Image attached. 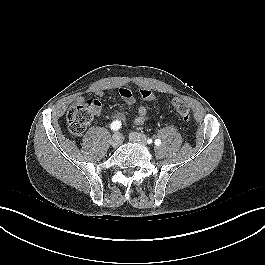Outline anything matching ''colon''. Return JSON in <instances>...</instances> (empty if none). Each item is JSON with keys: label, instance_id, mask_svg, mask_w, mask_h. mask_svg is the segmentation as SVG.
<instances>
[{"label": "colon", "instance_id": "5ec220e1", "mask_svg": "<svg viewBox=\"0 0 265 265\" xmlns=\"http://www.w3.org/2000/svg\"><path fill=\"white\" fill-rule=\"evenodd\" d=\"M139 96L143 101H152L155 95L151 89L140 88ZM172 106L184 122L190 121V108L187 102L180 98L172 100ZM100 110L97 100H88L72 106L67 112L69 131L74 135L82 134Z\"/></svg>", "mask_w": 265, "mask_h": 265}]
</instances>
